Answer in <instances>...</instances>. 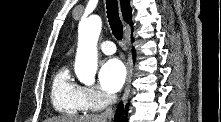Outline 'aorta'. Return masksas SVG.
<instances>
[{
	"mask_svg": "<svg viewBox=\"0 0 221 122\" xmlns=\"http://www.w3.org/2000/svg\"><path fill=\"white\" fill-rule=\"evenodd\" d=\"M102 27L101 18L92 15L79 24L75 73L81 83L92 85L97 71V42Z\"/></svg>",
	"mask_w": 221,
	"mask_h": 122,
	"instance_id": "aorta-1",
	"label": "aorta"
}]
</instances>
